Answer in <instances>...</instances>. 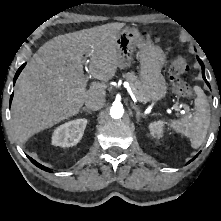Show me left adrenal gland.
Wrapping results in <instances>:
<instances>
[{
    "label": "left adrenal gland",
    "instance_id": "obj_1",
    "mask_svg": "<svg viewBox=\"0 0 221 221\" xmlns=\"http://www.w3.org/2000/svg\"><path fill=\"white\" fill-rule=\"evenodd\" d=\"M131 106H132V108H133V109L135 110V112H136L137 122H140V117H143V118L146 117L145 115H143V114L141 113L140 109H139L136 105L132 104Z\"/></svg>",
    "mask_w": 221,
    "mask_h": 221
}]
</instances>
